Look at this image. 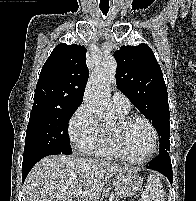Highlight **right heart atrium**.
<instances>
[{
	"instance_id": "right-heart-atrium-1",
	"label": "right heart atrium",
	"mask_w": 196,
	"mask_h": 201,
	"mask_svg": "<svg viewBox=\"0 0 196 201\" xmlns=\"http://www.w3.org/2000/svg\"><path fill=\"white\" fill-rule=\"evenodd\" d=\"M68 134L72 147L82 154H92L102 138L101 125L87 104L82 103L68 122Z\"/></svg>"
}]
</instances>
